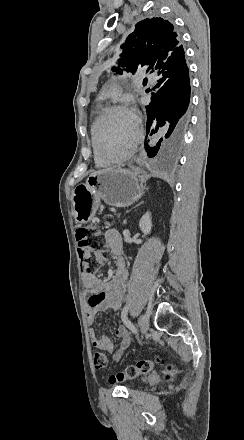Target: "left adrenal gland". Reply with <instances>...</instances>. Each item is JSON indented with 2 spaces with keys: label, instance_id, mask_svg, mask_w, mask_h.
I'll return each mask as SVG.
<instances>
[{
  "label": "left adrenal gland",
  "instance_id": "a2214340",
  "mask_svg": "<svg viewBox=\"0 0 244 440\" xmlns=\"http://www.w3.org/2000/svg\"><path fill=\"white\" fill-rule=\"evenodd\" d=\"M141 204H144V202H140V204H137V206H134V208H138V206H141Z\"/></svg>",
  "mask_w": 244,
  "mask_h": 440
}]
</instances>
